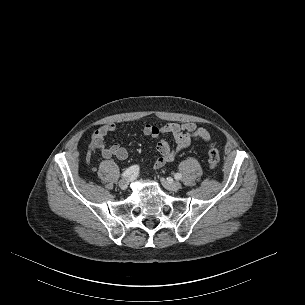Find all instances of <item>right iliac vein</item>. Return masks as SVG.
I'll use <instances>...</instances> for the list:
<instances>
[{
    "label": "right iliac vein",
    "mask_w": 305,
    "mask_h": 305,
    "mask_svg": "<svg viewBox=\"0 0 305 305\" xmlns=\"http://www.w3.org/2000/svg\"><path fill=\"white\" fill-rule=\"evenodd\" d=\"M130 179L129 178H123L119 181V187L122 190H126L129 185Z\"/></svg>",
    "instance_id": "63e3f726"
}]
</instances>
